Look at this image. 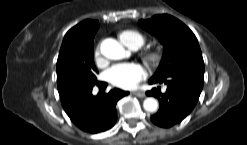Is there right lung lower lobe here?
<instances>
[{
    "label": "right lung lower lobe",
    "mask_w": 247,
    "mask_h": 145,
    "mask_svg": "<svg viewBox=\"0 0 247 145\" xmlns=\"http://www.w3.org/2000/svg\"><path fill=\"white\" fill-rule=\"evenodd\" d=\"M105 87L106 83L75 87L60 94L62 106L71 121L81 130L98 133L110 129L117 120L116 103L129 94L120 89H113L108 94L92 95L93 87Z\"/></svg>",
    "instance_id": "obj_1"
}]
</instances>
